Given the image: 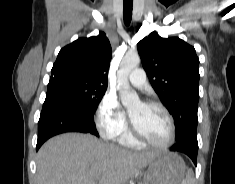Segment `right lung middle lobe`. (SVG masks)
I'll return each instance as SVG.
<instances>
[{
	"label": "right lung middle lobe",
	"mask_w": 235,
	"mask_h": 184,
	"mask_svg": "<svg viewBox=\"0 0 235 184\" xmlns=\"http://www.w3.org/2000/svg\"><path fill=\"white\" fill-rule=\"evenodd\" d=\"M107 86L83 84L76 81H67L57 88V92L71 98L86 111L94 114Z\"/></svg>",
	"instance_id": "dd1d6c3e"
}]
</instances>
